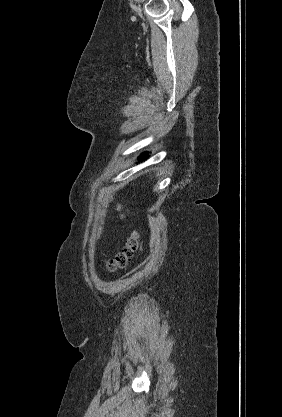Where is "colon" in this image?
I'll use <instances>...</instances> for the list:
<instances>
[{"label": "colon", "mask_w": 282, "mask_h": 417, "mask_svg": "<svg viewBox=\"0 0 282 417\" xmlns=\"http://www.w3.org/2000/svg\"><path fill=\"white\" fill-rule=\"evenodd\" d=\"M122 203H120V207H122ZM140 248V233L134 230L124 248V251L112 262H109L107 268L109 271H114L118 268L125 267L131 259L134 257L135 253L139 251Z\"/></svg>", "instance_id": "obj_1"}]
</instances>
